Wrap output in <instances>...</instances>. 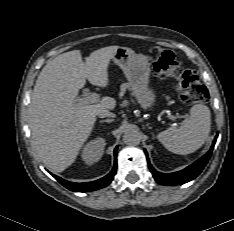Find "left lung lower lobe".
<instances>
[{
  "instance_id": "1",
  "label": "left lung lower lobe",
  "mask_w": 234,
  "mask_h": 231,
  "mask_svg": "<svg viewBox=\"0 0 234 231\" xmlns=\"http://www.w3.org/2000/svg\"><path fill=\"white\" fill-rule=\"evenodd\" d=\"M217 136L215 137L213 144L207 154H205L199 160H197L196 162H194L193 164H191L190 166H188L187 168L181 171L170 173V174L160 173L152 167V165L150 164L148 160L149 168L153 174L154 179L162 185H179V184L189 182L193 180L194 178H196L201 173L205 165L207 164L211 156V153L214 149ZM146 156L148 158L147 153H146Z\"/></svg>"
}]
</instances>
